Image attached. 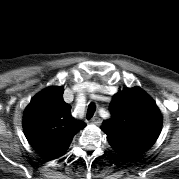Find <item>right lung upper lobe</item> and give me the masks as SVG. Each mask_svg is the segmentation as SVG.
Returning <instances> with one entry per match:
<instances>
[{"mask_svg": "<svg viewBox=\"0 0 179 179\" xmlns=\"http://www.w3.org/2000/svg\"><path fill=\"white\" fill-rule=\"evenodd\" d=\"M62 87H48L38 93L24 112L23 128L29 143L39 152H64L74 135L86 126L71 116L63 100Z\"/></svg>", "mask_w": 179, "mask_h": 179, "instance_id": "obj_1", "label": "right lung upper lobe"}]
</instances>
